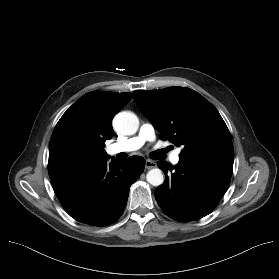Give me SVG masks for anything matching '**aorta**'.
<instances>
[{
    "mask_svg": "<svg viewBox=\"0 0 279 279\" xmlns=\"http://www.w3.org/2000/svg\"><path fill=\"white\" fill-rule=\"evenodd\" d=\"M113 126L122 135H133L138 130L139 120L134 113L123 111L114 117ZM146 180L153 186H160L164 182V176L159 168H154L147 173Z\"/></svg>",
    "mask_w": 279,
    "mask_h": 279,
    "instance_id": "1",
    "label": "aorta"
}]
</instances>
